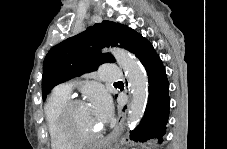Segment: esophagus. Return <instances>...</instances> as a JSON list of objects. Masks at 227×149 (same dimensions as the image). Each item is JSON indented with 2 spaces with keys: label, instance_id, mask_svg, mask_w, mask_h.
<instances>
[{
  "label": "esophagus",
  "instance_id": "esophagus-1",
  "mask_svg": "<svg viewBox=\"0 0 227 149\" xmlns=\"http://www.w3.org/2000/svg\"><path fill=\"white\" fill-rule=\"evenodd\" d=\"M124 120H125L124 114L119 115L113 131L111 132V134L109 135V137H104L103 140L100 141V144L101 145H110L111 142L114 141V138L117 135H119V133L122 130Z\"/></svg>",
  "mask_w": 227,
  "mask_h": 149
}]
</instances>
